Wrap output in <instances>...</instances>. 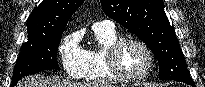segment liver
I'll return each mask as SVG.
<instances>
[{
	"label": "liver",
	"instance_id": "obj_1",
	"mask_svg": "<svg viewBox=\"0 0 205 87\" xmlns=\"http://www.w3.org/2000/svg\"><path fill=\"white\" fill-rule=\"evenodd\" d=\"M16 87H114L103 83H79L58 78H44L39 75L28 76L22 79Z\"/></svg>",
	"mask_w": 205,
	"mask_h": 87
}]
</instances>
